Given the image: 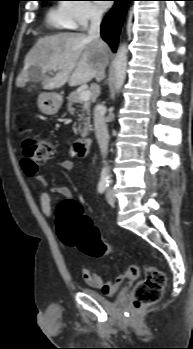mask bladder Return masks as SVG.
I'll return each instance as SVG.
<instances>
[{
    "instance_id": "obj_1",
    "label": "bladder",
    "mask_w": 193,
    "mask_h": 349,
    "mask_svg": "<svg viewBox=\"0 0 193 349\" xmlns=\"http://www.w3.org/2000/svg\"><path fill=\"white\" fill-rule=\"evenodd\" d=\"M84 291L100 304H103V305L110 304L109 299L99 290L87 287L84 289ZM123 297H124L123 293L119 294L118 296V298H123Z\"/></svg>"
}]
</instances>
